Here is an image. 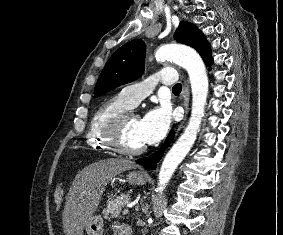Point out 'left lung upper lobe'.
Returning a JSON list of instances; mask_svg holds the SVG:
<instances>
[{
    "label": "left lung upper lobe",
    "instance_id": "1",
    "mask_svg": "<svg viewBox=\"0 0 283 235\" xmlns=\"http://www.w3.org/2000/svg\"><path fill=\"white\" fill-rule=\"evenodd\" d=\"M174 38L197 50L207 65L212 64L210 45L195 25L181 21ZM145 51V43L139 39L120 47L103 68L95 86L94 97L140 77L144 70Z\"/></svg>",
    "mask_w": 283,
    "mask_h": 235
}]
</instances>
